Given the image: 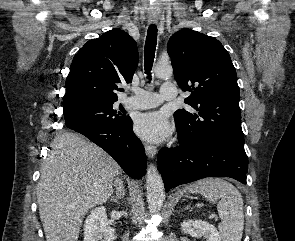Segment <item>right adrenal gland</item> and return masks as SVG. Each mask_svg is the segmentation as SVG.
<instances>
[{
  "instance_id": "1",
  "label": "right adrenal gland",
  "mask_w": 295,
  "mask_h": 241,
  "mask_svg": "<svg viewBox=\"0 0 295 241\" xmlns=\"http://www.w3.org/2000/svg\"><path fill=\"white\" fill-rule=\"evenodd\" d=\"M114 186H115V194L111 197V200L115 203H118V201L124 197L125 195V190L123 187V182L122 180L117 177L114 181Z\"/></svg>"
}]
</instances>
